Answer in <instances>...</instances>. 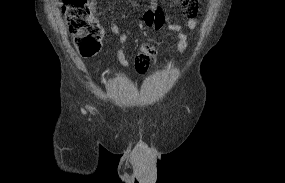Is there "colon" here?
Wrapping results in <instances>:
<instances>
[{
    "label": "colon",
    "mask_w": 285,
    "mask_h": 183,
    "mask_svg": "<svg viewBox=\"0 0 285 183\" xmlns=\"http://www.w3.org/2000/svg\"><path fill=\"white\" fill-rule=\"evenodd\" d=\"M88 0H64L62 9L68 30L75 36V46L83 56H93L101 48L103 29L87 8ZM139 74L148 68L145 63L135 65Z\"/></svg>",
    "instance_id": "obj_1"
}]
</instances>
